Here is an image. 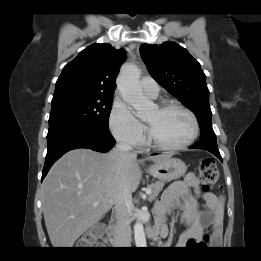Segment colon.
Listing matches in <instances>:
<instances>
[{
	"label": "colon",
	"mask_w": 261,
	"mask_h": 261,
	"mask_svg": "<svg viewBox=\"0 0 261 261\" xmlns=\"http://www.w3.org/2000/svg\"><path fill=\"white\" fill-rule=\"evenodd\" d=\"M199 174L202 184V188L207 191L212 187L218 186L219 184V172L216 166L215 161L210 157H204L199 162ZM99 237V234L96 236L89 237L85 242H82L81 245L84 247H91L95 244L96 238ZM204 241H191L189 246L202 245Z\"/></svg>",
	"instance_id": "obj_1"
}]
</instances>
